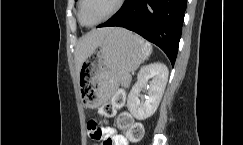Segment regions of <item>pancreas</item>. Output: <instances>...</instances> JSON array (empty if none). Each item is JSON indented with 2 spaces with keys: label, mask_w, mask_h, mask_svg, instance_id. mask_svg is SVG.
Here are the masks:
<instances>
[{
  "label": "pancreas",
  "mask_w": 243,
  "mask_h": 145,
  "mask_svg": "<svg viewBox=\"0 0 243 145\" xmlns=\"http://www.w3.org/2000/svg\"><path fill=\"white\" fill-rule=\"evenodd\" d=\"M131 81V77L127 74H125L122 78H121V84L122 86H127Z\"/></svg>",
  "instance_id": "pancreas-1"
}]
</instances>
